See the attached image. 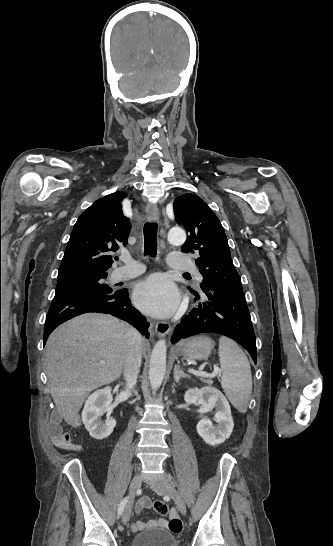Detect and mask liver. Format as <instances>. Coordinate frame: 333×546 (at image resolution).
Segmentation results:
<instances>
[{"mask_svg": "<svg viewBox=\"0 0 333 546\" xmlns=\"http://www.w3.org/2000/svg\"><path fill=\"white\" fill-rule=\"evenodd\" d=\"M126 328L109 315L87 313L60 325L49 336L46 375L56 410L67 424L77 422L78 412L92 390L120 376Z\"/></svg>", "mask_w": 333, "mask_h": 546, "instance_id": "liver-1", "label": "liver"}]
</instances>
